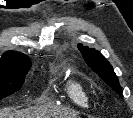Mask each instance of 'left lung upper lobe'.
<instances>
[{"label": "left lung upper lobe", "instance_id": "obj_1", "mask_svg": "<svg viewBox=\"0 0 133 118\" xmlns=\"http://www.w3.org/2000/svg\"><path fill=\"white\" fill-rule=\"evenodd\" d=\"M78 48L87 65L118 94L122 95L118 78L113 71L111 64L104 58V56L100 54L99 51L91 49L88 46H83L82 44H78Z\"/></svg>", "mask_w": 133, "mask_h": 118}]
</instances>
